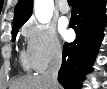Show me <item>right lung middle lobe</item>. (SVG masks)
<instances>
[{
	"label": "right lung middle lobe",
	"mask_w": 107,
	"mask_h": 89,
	"mask_svg": "<svg viewBox=\"0 0 107 89\" xmlns=\"http://www.w3.org/2000/svg\"><path fill=\"white\" fill-rule=\"evenodd\" d=\"M20 27L21 26L12 28V41L15 40L16 34H17V29L20 28Z\"/></svg>",
	"instance_id": "obj_1"
}]
</instances>
